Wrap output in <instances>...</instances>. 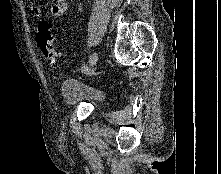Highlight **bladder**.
I'll return each instance as SVG.
<instances>
[{"instance_id": "obj_1", "label": "bladder", "mask_w": 221, "mask_h": 174, "mask_svg": "<svg viewBox=\"0 0 221 174\" xmlns=\"http://www.w3.org/2000/svg\"><path fill=\"white\" fill-rule=\"evenodd\" d=\"M60 95L67 105H78L80 103L98 105L104 99L101 91L74 77H67L62 81Z\"/></svg>"}]
</instances>
